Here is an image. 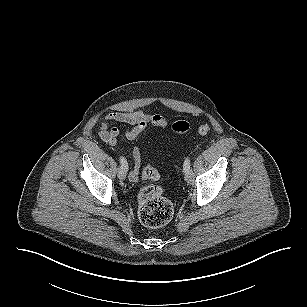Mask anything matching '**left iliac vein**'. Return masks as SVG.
<instances>
[{
	"label": "left iliac vein",
	"instance_id": "4c4485c4",
	"mask_svg": "<svg viewBox=\"0 0 307 307\" xmlns=\"http://www.w3.org/2000/svg\"><path fill=\"white\" fill-rule=\"evenodd\" d=\"M184 173H185V180L188 183H192L194 181V173H193L191 167L188 170L184 171Z\"/></svg>",
	"mask_w": 307,
	"mask_h": 307
}]
</instances>
